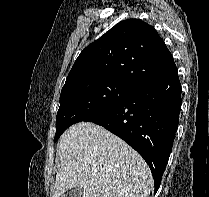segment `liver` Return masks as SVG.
Here are the masks:
<instances>
[{"instance_id":"6515ba94","label":"liver","mask_w":209,"mask_h":197,"mask_svg":"<svg viewBox=\"0 0 209 197\" xmlns=\"http://www.w3.org/2000/svg\"><path fill=\"white\" fill-rule=\"evenodd\" d=\"M53 197L78 188L82 197H148L153 179L143 158L118 136L79 122L60 137Z\"/></svg>"}]
</instances>
